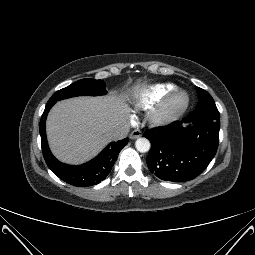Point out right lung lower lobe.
<instances>
[{
  "label": "right lung lower lobe",
  "mask_w": 255,
  "mask_h": 255,
  "mask_svg": "<svg viewBox=\"0 0 255 255\" xmlns=\"http://www.w3.org/2000/svg\"><path fill=\"white\" fill-rule=\"evenodd\" d=\"M55 103H47L40 120L41 145L44 159L51 169L63 181L79 187H88L100 183L110 173L121 149L128 143V138L112 142L94 159L79 166L59 162L48 147L45 122L47 114Z\"/></svg>",
  "instance_id": "98d812e1"
}]
</instances>
